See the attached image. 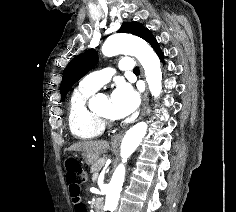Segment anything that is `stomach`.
<instances>
[{
	"label": "stomach",
	"instance_id": "obj_1",
	"mask_svg": "<svg viewBox=\"0 0 236 212\" xmlns=\"http://www.w3.org/2000/svg\"><path fill=\"white\" fill-rule=\"evenodd\" d=\"M83 162L87 165H92L98 160V156H95L91 153L82 152Z\"/></svg>",
	"mask_w": 236,
	"mask_h": 212
}]
</instances>
